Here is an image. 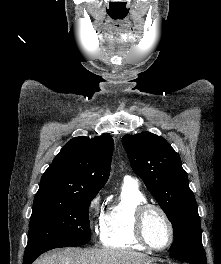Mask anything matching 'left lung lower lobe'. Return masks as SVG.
I'll list each match as a JSON object with an SVG mask.
<instances>
[{"label": "left lung lower lobe", "mask_w": 221, "mask_h": 264, "mask_svg": "<svg viewBox=\"0 0 221 264\" xmlns=\"http://www.w3.org/2000/svg\"><path fill=\"white\" fill-rule=\"evenodd\" d=\"M170 255L175 258H179L189 264H207L206 254L203 249H190L170 252Z\"/></svg>", "instance_id": "0a47b994"}]
</instances>
